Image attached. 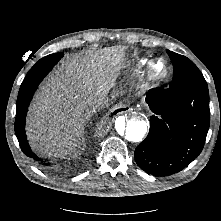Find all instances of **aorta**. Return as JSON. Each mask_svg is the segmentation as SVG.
Wrapping results in <instances>:
<instances>
[{
  "label": "aorta",
  "instance_id": "1",
  "mask_svg": "<svg viewBox=\"0 0 221 221\" xmlns=\"http://www.w3.org/2000/svg\"><path fill=\"white\" fill-rule=\"evenodd\" d=\"M114 132L123 141L141 142L147 132V121L139 114L121 115L115 119Z\"/></svg>",
  "mask_w": 221,
  "mask_h": 221
}]
</instances>
